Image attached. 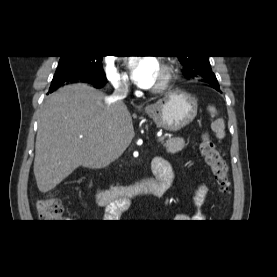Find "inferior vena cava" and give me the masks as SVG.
Masks as SVG:
<instances>
[{
  "instance_id": "inferior-vena-cava-1",
  "label": "inferior vena cava",
  "mask_w": 277,
  "mask_h": 277,
  "mask_svg": "<svg viewBox=\"0 0 277 277\" xmlns=\"http://www.w3.org/2000/svg\"><path fill=\"white\" fill-rule=\"evenodd\" d=\"M114 92L107 99L109 103H123L122 100L126 98L128 94V84L126 82H117L114 84Z\"/></svg>"
}]
</instances>
